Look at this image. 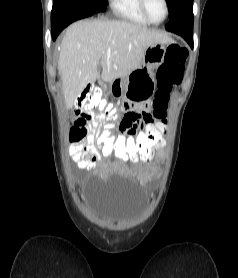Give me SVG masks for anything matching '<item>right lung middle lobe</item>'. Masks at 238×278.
I'll use <instances>...</instances> for the list:
<instances>
[{"label":"right lung middle lobe","mask_w":238,"mask_h":278,"mask_svg":"<svg viewBox=\"0 0 238 278\" xmlns=\"http://www.w3.org/2000/svg\"><path fill=\"white\" fill-rule=\"evenodd\" d=\"M58 0H53V2ZM86 6L88 9L97 12H104L106 10L107 0H71Z\"/></svg>","instance_id":"obj_1"}]
</instances>
